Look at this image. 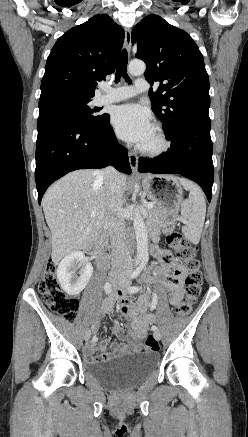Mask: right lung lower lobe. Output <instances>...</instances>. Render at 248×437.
<instances>
[{
  "label": "right lung lower lobe",
  "instance_id": "98d812e1",
  "mask_svg": "<svg viewBox=\"0 0 248 437\" xmlns=\"http://www.w3.org/2000/svg\"><path fill=\"white\" fill-rule=\"evenodd\" d=\"M109 120L86 125L60 113L39 114L35 170L39 204L47 188L71 171L113 165L120 172H132L128 151L117 143Z\"/></svg>",
  "mask_w": 248,
  "mask_h": 437
}]
</instances>
